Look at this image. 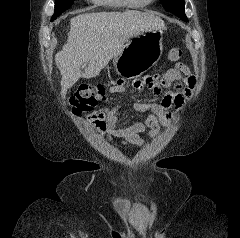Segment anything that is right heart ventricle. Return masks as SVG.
Returning a JSON list of instances; mask_svg holds the SVG:
<instances>
[{
	"instance_id": "obj_1",
	"label": "right heart ventricle",
	"mask_w": 240,
	"mask_h": 238,
	"mask_svg": "<svg viewBox=\"0 0 240 238\" xmlns=\"http://www.w3.org/2000/svg\"><path fill=\"white\" fill-rule=\"evenodd\" d=\"M96 4L106 6L109 8L119 9L128 7L126 6L122 0H93ZM134 7H141L140 5L134 6Z\"/></svg>"
}]
</instances>
